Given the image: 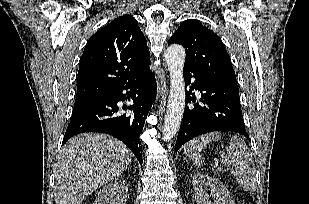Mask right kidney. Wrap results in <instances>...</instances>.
Here are the masks:
<instances>
[{
    "label": "right kidney",
    "mask_w": 309,
    "mask_h": 204,
    "mask_svg": "<svg viewBox=\"0 0 309 204\" xmlns=\"http://www.w3.org/2000/svg\"><path fill=\"white\" fill-rule=\"evenodd\" d=\"M127 193L128 183L115 181L101 189L93 204H126Z\"/></svg>",
    "instance_id": "1"
}]
</instances>
